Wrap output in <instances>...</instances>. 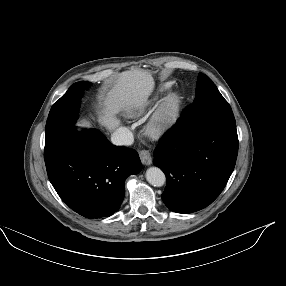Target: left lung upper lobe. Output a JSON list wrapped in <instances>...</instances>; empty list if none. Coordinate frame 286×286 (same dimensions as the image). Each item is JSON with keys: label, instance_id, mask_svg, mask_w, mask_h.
I'll return each mask as SVG.
<instances>
[{"label": "left lung upper lobe", "instance_id": "obj_1", "mask_svg": "<svg viewBox=\"0 0 286 286\" xmlns=\"http://www.w3.org/2000/svg\"><path fill=\"white\" fill-rule=\"evenodd\" d=\"M183 125L202 122L235 124L228 102L223 98L212 80L200 73L196 85V98L186 107L179 118Z\"/></svg>", "mask_w": 286, "mask_h": 286}]
</instances>
